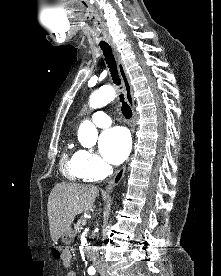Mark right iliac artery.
Wrapping results in <instances>:
<instances>
[{"mask_svg": "<svg viewBox=\"0 0 221 276\" xmlns=\"http://www.w3.org/2000/svg\"><path fill=\"white\" fill-rule=\"evenodd\" d=\"M88 273H89L90 275H94V274H95V269H94L93 267H90V268L88 269Z\"/></svg>", "mask_w": 221, "mask_h": 276, "instance_id": "82829eb1", "label": "right iliac artery"}]
</instances>
